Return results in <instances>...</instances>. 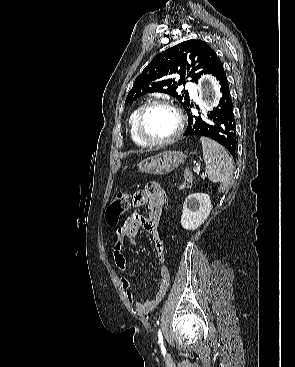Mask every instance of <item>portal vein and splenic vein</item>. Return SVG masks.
<instances>
[{"label": "portal vein and splenic vein", "mask_w": 295, "mask_h": 367, "mask_svg": "<svg viewBox=\"0 0 295 367\" xmlns=\"http://www.w3.org/2000/svg\"><path fill=\"white\" fill-rule=\"evenodd\" d=\"M193 172L196 173L197 175L200 174V171H199V169L197 167H194L193 168Z\"/></svg>", "instance_id": "obj_1"}]
</instances>
